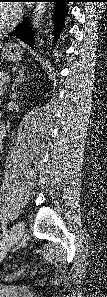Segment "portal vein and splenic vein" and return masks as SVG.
I'll list each match as a JSON object with an SVG mask.
<instances>
[{
    "mask_svg": "<svg viewBox=\"0 0 107 297\" xmlns=\"http://www.w3.org/2000/svg\"><path fill=\"white\" fill-rule=\"evenodd\" d=\"M10 79H11L10 76H6V77L3 79V81H4V82H9Z\"/></svg>",
    "mask_w": 107,
    "mask_h": 297,
    "instance_id": "portal-vein-and-splenic-vein-1",
    "label": "portal vein and splenic vein"
}]
</instances>
